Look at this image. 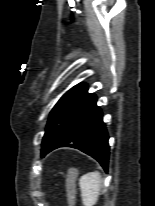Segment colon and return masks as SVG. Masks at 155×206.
I'll return each mask as SVG.
<instances>
[{"instance_id": "colon-1", "label": "colon", "mask_w": 155, "mask_h": 206, "mask_svg": "<svg viewBox=\"0 0 155 206\" xmlns=\"http://www.w3.org/2000/svg\"><path fill=\"white\" fill-rule=\"evenodd\" d=\"M75 195H76V189L74 184L70 181L67 187V198L68 202L71 206H74L75 203Z\"/></svg>"}]
</instances>
